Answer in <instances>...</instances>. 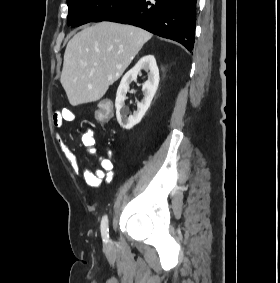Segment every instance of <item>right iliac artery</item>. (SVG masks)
<instances>
[{"label":"right iliac artery","instance_id":"1","mask_svg":"<svg viewBox=\"0 0 280 283\" xmlns=\"http://www.w3.org/2000/svg\"><path fill=\"white\" fill-rule=\"evenodd\" d=\"M109 228H108V217L105 215L101 221V234L103 241L107 243L109 241Z\"/></svg>","mask_w":280,"mask_h":283}]
</instances>
